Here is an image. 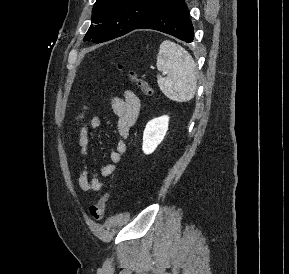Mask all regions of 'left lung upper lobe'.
Returning a JSON list of instances; mask_svg holds the SVG:
<instances>
[{
    "label": "left lung upper lobe",
    "mask_w": 289,
    "mask_h": 274,
    "mask_svg": "<svg viewBox=\"0 0 289 274\" xmlns=\"http://www.w3.org/2000/svg\"><path fill=\"white\" fill-rule=\"evenodd\" d=\"M167 0H97L84 41L101 43L134 30Z\"/></svg>",
    "instance_id": "5c2ea615"
}]
</instances>
